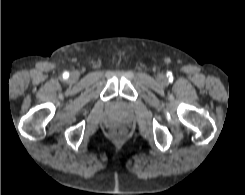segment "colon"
Wrapping results in <instances>:
<instances>
[{
	"instance_id": "5ec220e1",
	"label": "colon",
	"mask_w": 245,
	"mask_h": 195,
	"mask_svg": "<svg viewBox=\"0 0 245 195\" xmlns=\"http://www.w3.org/2000/svg\"><path fill=\"white\" fill-rule=\"evenodd\" d=\"M124 133H125V129L122 128V127H118V128H115V129L112 130V134H113L114 136H121V135H123Z\"/></svg>"
}]
</instances>
